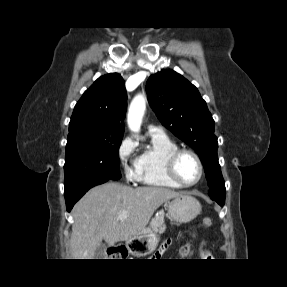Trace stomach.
Instances as JSON below:
<instances>
[{
    "label": "stomach",
    "instance_id": "obj_1",
    "mask_svg": "<svg viewBox=\"0 0 287 287\" xmlns=\"http://www.w3.org/2000/svg\"><path fill=\"white\" fill-rule=\"evenodd\" d=\"M200 212L201 204L196 198L189 195L182 194L173 198L168 204V217L177 225L192 221ZM159 239L160 236L157 232L145 228L126 240V247L134 256H145L155 250Z\"/></svg>",
    "mask_w": 287,
    "mask_h": 287
}]
</instances>
